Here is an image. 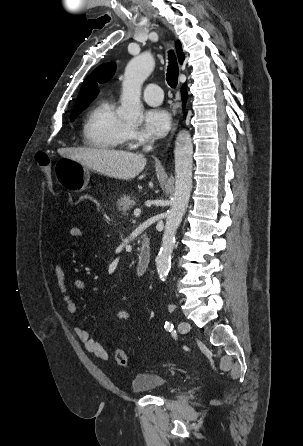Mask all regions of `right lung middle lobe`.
<instances>
[{"label": "right lung middle lobe", "instance_id": "dd1d6c3e", "mask_svg": "<svg viewBox=\"0 0 303 446\" xmlns=\"http://www.w3.org/2000/svg\"><path fill=\"white\" fill-rule=\"evenodd\" d=\"M89 104L90 103L80 106V107H77V108H74L72 111V114H71V121H73L75 119V117L77 115H79Z\"/></svg>", "mask_w": 303, "mask_h": 446}]
</instances>
